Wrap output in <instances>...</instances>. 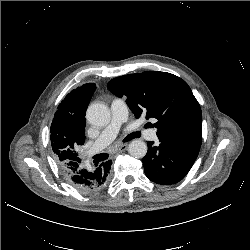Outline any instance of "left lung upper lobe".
<instances>
[{"instance_id":"5c2ea615","label":"left lung upper lobe","mask_w":250,"mask_h":250,"mask_svg":"<svg viewBox=\"0 0 250 250\" xmlns=\"http://www.w3.org/2000/svg\"><path fill=\"white\" fill-rule=\"evenodd\" d=\"M109 90L123 97L136 118H155L159 141L200 148L202 113L188 84L181 78L157 71L112 79Z\"/></svg>"}]
</instances>
